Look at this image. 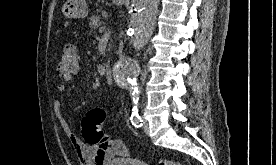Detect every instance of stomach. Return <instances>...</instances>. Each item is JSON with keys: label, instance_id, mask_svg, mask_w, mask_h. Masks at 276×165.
Here are the masks:
<instances>
[{"label": "stomach", "instance_id": "1", "mask_svg": "<svg viewBox=\"0 0 276 165\" xmlns=\"http://www.w3.org/2000/svg\"><path fill=\"white\" fill-rule=\"evenodd\" d=\"M113 2L121 5L123 0H113ZM62 13L69 19L85 18L88 14L87 4L85 0H68L62 8Z\"/></svg>", "mask_w": 276, "mask_h": 165}]
</instances>
